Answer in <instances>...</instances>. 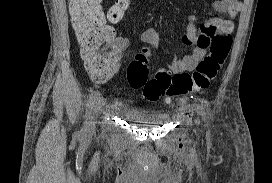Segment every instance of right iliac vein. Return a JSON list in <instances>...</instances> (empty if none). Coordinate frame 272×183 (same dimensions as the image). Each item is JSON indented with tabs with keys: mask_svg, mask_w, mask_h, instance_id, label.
Listing matches in <instances>:
<instances>
[{
	"mask_svg": "<svg viewBox=\"0 0 272 183\" xmlns=\"http://www.w3.org/2000/svg\"><path fill=\"white\" fill-rule=\"evenodd\" d=\"M103 104V98L98 97V99L95 102L93 111L91 112L90 121L87 127V133L90 135L95 131L96 128V121L97 117L101 108V105Z\"/></svg>",
	"mask_w": 272,
	"mask_h": 183,
	"instance_id": "obj_1",
	"label": "right iliac vein"
}]
</instances>
